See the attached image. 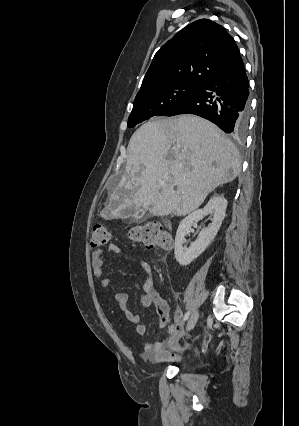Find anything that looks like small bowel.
I'll use <instances>...</instances> for the list:
<instances>
[{"mask_svg": "<svg viewBox=\"0 0 299 426\" xmlns=\"http://www.w3.org/2000/svg\"><path fill=\"white\" fill-rule=\"evenodd\" d=\"M109 253L122 254V249L116 244L110 243L106 249ZM138 265L143 270L145 282L143 285L144 296L142 304L144 307L153 305L159 317V327L167 330L168 336L162 341L146 343L142 352V357L148 361L169 362L178 361L180 357L178 352L181 350L179 338L182 332L181 318L182 312L177 310L174 318L171 319L170 308L167 301L161 297L154 285L153 271L149 263L138 261ZM93 275L101 279V286L107 289L111 286L112 281L104 275V259L103 251L97 249L92 253L91 261ZM115 302L123 310L127 320L136 326L138 335H144L146 332V324L137 313L131 311L128 307V295L125 292H117L114 296Z\"/></svg>", "mask_w": 299, "mask_h": 426, "instance_id": "small-bowel-1", "label": "small bowel"}]
</instances>
